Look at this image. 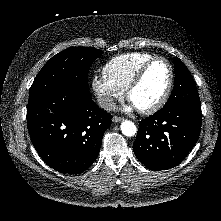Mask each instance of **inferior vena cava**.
I'll return each mask as SVG.
<instances>
[{
  "instance_id": "602c4592",
  "label": "inferior vena cava",
  "mask_w": 221,
  "mask_h": 221,
  "mask_svg": "<svg viewBox=\"0 0 221 221\" xmlns=\"http://www.w3.org/2000/svg\"><path fill=\"white\" fill-rule=\"evenodd\" d=\"M98 106L106 111H114L116 109V103L110 96H99L97 98Z\"/></svg>"
}]
</instances>
